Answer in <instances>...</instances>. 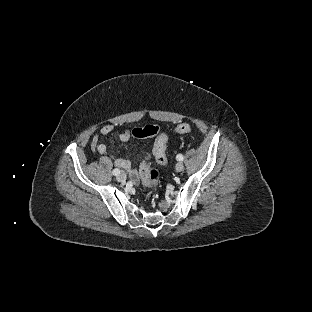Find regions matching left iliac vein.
<instances>
[{"mask_svg":"<svg viewBox=\"0 0 312 312\" xmlns=\"http://www.w3.org/2000/svg\"><path fill=\"white\" fill-rule=\"evenodd\" d=\"M183 169H184L183 163H182V162H178V163L176 164V171H177V172H181V171H183Z\"/></svg>","mask_w":312,"mask_h":312,"instance_id":"left-iliac-vein-1","label":"left iliac vein"}]
</instances>
